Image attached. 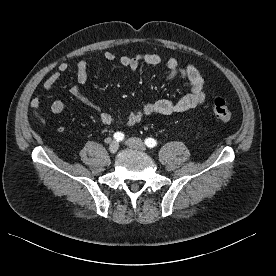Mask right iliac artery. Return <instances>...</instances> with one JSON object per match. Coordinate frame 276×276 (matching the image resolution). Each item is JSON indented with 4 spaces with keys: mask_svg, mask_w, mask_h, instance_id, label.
<instances>
[{
    "mask_svg": "<svg viewBox=\"0 0 276 276\" xmlns=\"http://www.w3.org/2000/svg\"><path fill=\"white\" fill-rule=\"evenodd\" d=\"M113 137L117 141H122L125 136H124V134L122 132H116Z\"/></svg>",
    "mask_w": 276,
    "mask_h": 276,
    "instance_id": "obj_1",
    "label": "right iliac artery"
}]
</instances>
